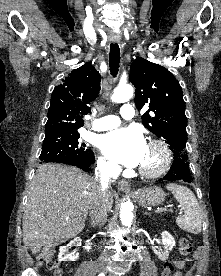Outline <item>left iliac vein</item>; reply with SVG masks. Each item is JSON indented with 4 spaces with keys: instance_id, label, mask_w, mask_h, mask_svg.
Wrapping results in <instances>:
<instances>
[{
    "instance_id": "left-iliac-vein-1",
    "label": "left iliac vein",
    "mask_w": 221,
    "mask_h": 276,
    "mask_svg": "<svg viewBox=\"0 0 221 276\" xmlns=\"http://www.w3.org/2000/svg\"><path fill=\"white\" fill-rule=\"evenodd\" d=\"M109 276H115V275L110 274Z\"/></svg>"
}]
</instances>
